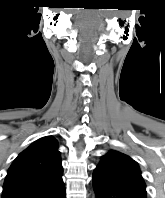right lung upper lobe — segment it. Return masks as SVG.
Instances as JSON below:
<instances>
[{"instance_id":"cb5924a9","label":"right lung upper lobe","mask_w":165,"mask_h":198,"mask_svg":"<svg viewBox=\"0 0 165 198\" xmlns=\"http://www.w3.org/2000/svg\"><path fill=\"white\" fill-rule=\"evenodd\" d=\"M62 175L56 139L40 138L10 166L2 198H54L64 189Z\"/></svg>"}]
</instances>
